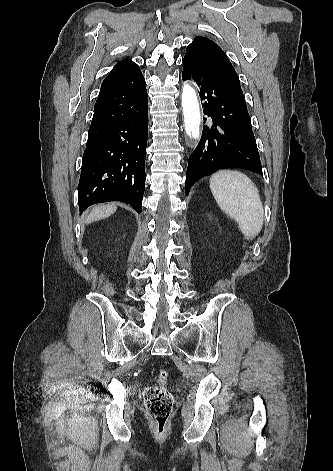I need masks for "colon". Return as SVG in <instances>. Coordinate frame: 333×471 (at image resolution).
Wrapping results in <instances>:
<instances>
[{
	"instance_id": "1",
	"label": "colon",
	"mask_w": 333,
	"mask_h": 471,
	"mask_svg": "<svg viewBox=\"0 0 333 471\" xmlns=\"http://www.w3.org/2000/svg\"><path fill=\"white\" fill-rule=\"evenodd\" d=\"M168 377V371L161 369L156 376V384L144 394L145 405L158 433L166 430L172 411L173 397L166 388Z\"/></svg>"
}]
</instances>
